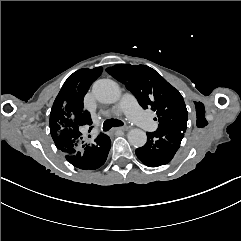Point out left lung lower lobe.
Segmentation results:
<instances>
[{
	"instance_id": "obj_1",
	"label": "left lung lower lobe",
	"mask_w": 241,
	"mask_h": 241,
	"mask_svg": "<svg viewBox=\"0 0 241 241\" xmlns=\"http://www.w3.org/2000/svg\"><path fill=\"white\" fill-rule=\"evenodd\" d=\"M185 131L186 124L158 127L155 132H147L146 144L136 149L135 153L146 166L158 167L167 164L179 149Z\"/></svg>"
}]
</instances>
